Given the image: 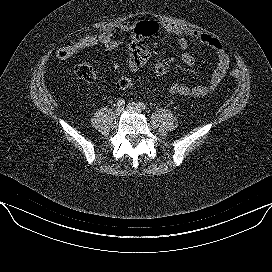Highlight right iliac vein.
I'll return each instance as SVG.
<instances>
[{
	"label": "right iliac vein",
	"mask_w": 272,
	"mask_h": 272,
	"mask_svg": "<svg viewBox=\"0 0 272 272\" xmlns=\"http://www.w3.org/2000/svg\"><path fill=\"white\" fill-rule=\"evenodd\" d=\"M123 111H124L123 107H117L115 110V113H116V115L119 116L122 114Z\"/></svg>",
	"instance_id": "obj_1"
}]
</instances>
